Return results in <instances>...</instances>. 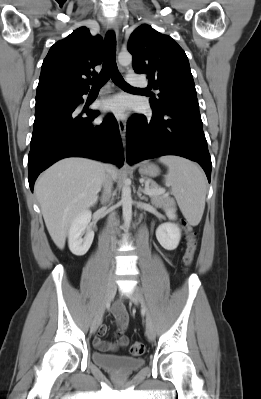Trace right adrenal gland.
Here are the masks:
<instances>
[{
	"label": "right adrenal gland",
	"mask_w": 261,
	"mask_h": 399,
	"mask_svg": "<svg viewBox=\"0 0 261 399\" xmlns=\"http://www.w3.org/2000/svg\"><path fill=\"white\" fill-rule=\"evenodd\" d=\"M100 202L103 204V202H104L103 196L100 197Z\"/></svg>",
	"instance_id": "1"
}]
</instances>
